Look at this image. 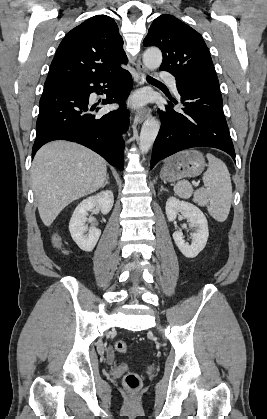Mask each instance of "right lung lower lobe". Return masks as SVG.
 <instances>
[{
    "label": "right lung lower lobe",
    "mask_w": 267,
    "mask_h": 419,
    "mask_svg": "<svg viewBox=\"0 0 267 419\" xmlns=\"http://www.w3.org/2000/svg\"><path fill=\"white\" fill-rule=\"evenodd\" d=\"M107 87L102 104L119 103L120 108L103 116L91 114L89 95ZM132 88L130 73L121 69L103 77L75 81L45 82L39 103L36 140L32 157L37 150L53 140H68L82 144L100 154L112 166L124 168V141L129 113L124 100Z\"/></svg>",
    "instance_id": "1"
}]
</instances>
